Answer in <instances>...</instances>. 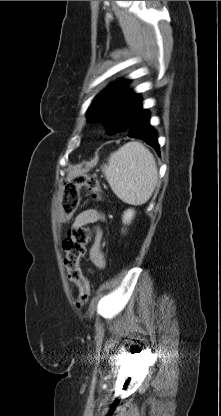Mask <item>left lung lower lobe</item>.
Here are the masks:
<instances>
[{
    "mask_svg": "<svg viewBox=\"0 0 221 416\" xmlns=\"http://www.w3.org/2000/svg\"><path fill=\"white\" fill-rule=\"evenodd\" d=\"M150 114L147 110L142 109L141 104L137 108L128 127L127 136L143 140L152 146L159 154V144L157 133L149 123Z\"/></svg>",
    "mask_w": 221,
    "mask_h": 416,
    "instance_id": "1",
    "label": "left lung lower lobe"
}]
</instances>
